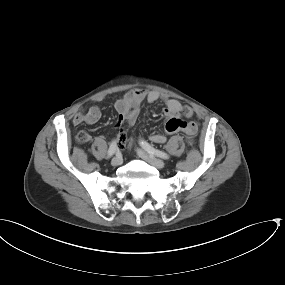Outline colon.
Here are the masks:
<instances>
[{"mask_svg": "<svg viewBox=\"0 0 285 285\" xmlns=\"http://www.w3.org/2000/svg\"><path fill=\"white\" fill-rule=\"evenodd\" d=\"M194 114V110L192 108V106L190 105H186L183 108V115L185 116V118H190L192 117ZM78 143L80 144H84L86 142L89 141V137L87 134H81L78 138H77Z\"/></svg>", "mask_w": 285, "mask_h": 285, "instance_id": "colon-1", "label": "colon"}]
</instances>
